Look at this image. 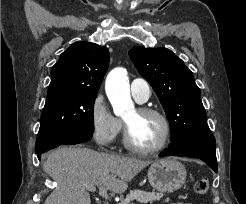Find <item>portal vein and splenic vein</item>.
<instances>
[{
	"label": "portal vein and splenic vein",
	"mask_w": 246,
	"mask_h": 204,
	"mask_svg": "<svg viewBox=\"0 0 246 204\" xmlns=\"http://www.w3.org/2000/svg\"><path fill=\"white\" fill-rule=\"evenodd\" d=\"M87 190L89 191H97L96 187L94 185H87ZM98 193L100 196H102L105 199H110L107 193V189L104 185H100L98 188Z\"/></svg>",
	"instance_id": "1"
}]
</instances>
